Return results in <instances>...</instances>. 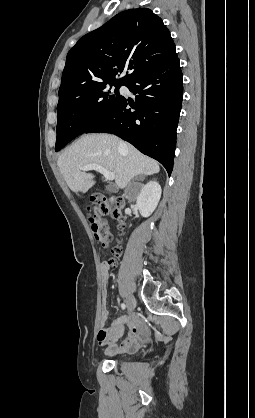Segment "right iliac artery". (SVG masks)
Listing matches in <instances>:
<instances>
[{"label": "right iliac artery", "instance_id": "1", "mask_svg": "<svg viewBox=\"0 0 255 418\" xmlns=\"http://www.w3.org/2000/svg\"><path fill=\"white\" fill-rule=\"evenodd\" d=\"M121 307H122L123 309H125V308H126V305H125L124 303H122V304H121Z\"/></svg>", "mask_w": 255, "mask_h": 418}]
</instances>
